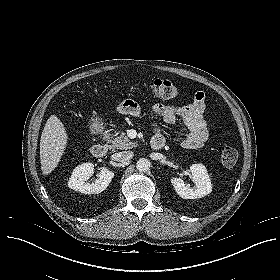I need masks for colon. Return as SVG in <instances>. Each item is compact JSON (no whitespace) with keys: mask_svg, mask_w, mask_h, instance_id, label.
I'll return each instance as SVG.
<instances>
[{"mask_svg":"<svg viewBox=\"0 0 280 280\" xmlns=\"http://www.w3.org/2000/svg\"><path fill=\"white\" fill-rule=\"evenodd\" d=\"M150 88L154 95L159 98L169 99L177 95V89L175 85L165 79H156L150 83ZM133 104L130 102H124L121 105V113L129 114ZM238 159V151L233 147H225L221 153L222 164L226 167H232L236 164Z\"/></svg>","mask_w":280,"mask_h":280,"instance_id":"1","label":"colon"}]
</instances>
